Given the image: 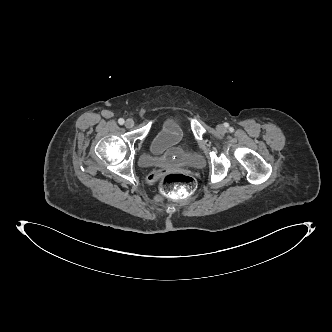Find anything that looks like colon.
Masks as SVG:
<instances>
[{"label":"colon","instance_id":"obj_1","mask_svg":"<svg viewBox=\"0 0 332 332\" xmlns=\"http://www.w3.org/2000/svg\"><path fill=\"white\" fill-rule=\"evenodd\" d=\"M157 184L164 195L179 200L191 197L196 190L195 178L184 172L161 173L157 177Z\"/></svg>","mask_w":332,"mask_h":332}]
</instances>
